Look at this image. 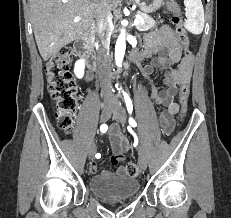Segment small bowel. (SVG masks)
<instances>
[{"label": "small bowel", "instance_id": "small-bowel-1", "mask_svg": "<svg viewBox=\"0 0 231 218\" xmlns=\"http://www.w3.org/2000/svg\"><path fill=\"white\" fill-rule=\"evenodd\" d=\"M138 57V59L151 58V61L143 67L142 73L151 84L149 99L165 108L160 114L159 120L163 133L169 135L174 129V116L179 110V105L174 101V97L177 94L178 86L181 87L184 83L190 82L194 57L188 49L180 45L172 28L168 25H164L146 36L145 50L139 53ZM156 69L166 71L163 78L165 88L161 90L155 87L151 79V75ZM85 79L90 80V75H86ZM109 139L114 152L111 164L117 166L120 162L125 161L129 152V143L116 125L111 127ZM89 170L91 173H96L97 163L91 162ZM104 174H109V172H104ZM116 174L124 176L126 174L125 165L117 167Z\"/></svg>", "mask_w": 231, "mask_h": 218}]
</instances>
